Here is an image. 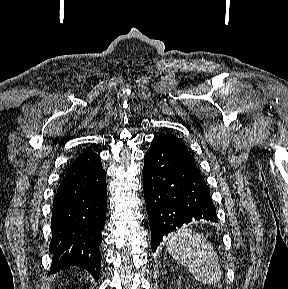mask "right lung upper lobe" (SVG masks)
I'll return each mask as SVG.
<instances>
[{"label": "right lung upper lobe", "instance_id": "1", "mask_svg": "<svg viewBox=\"0 0 288 289\" xmlns=\"http://www.w3.org/2000/svg\"><path fill=\"white\" fill-rule=\"evenodd\" d=\"M90 151H91V150H89V149H86V150L84 151V153H87V152H90ZM84 153H83V154H84Z\"/></svg>", "mask_w": 288, "mask_h": 289}]
</instances>
